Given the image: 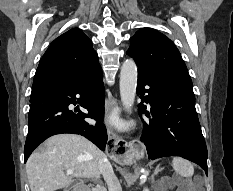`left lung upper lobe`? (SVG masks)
<instances>
[{
  "label": "left lung upper lobe",
  "instance_id": "obj_1",
  "mask_svg": "<svg viewBox=\"0 0 233 191\" xmlns=\"http://www.w3.org/2000/svg\"><path fill=\"white\" fill-rule=\"evenodd\" d=\"M130 40L131 46L126 53L135 60L138 70L192 89L187 67L168 37L154 29L143 28Z\"/></svg>",
  "mask_w": 233,
  "mask_h": 191
}]
</instances>
